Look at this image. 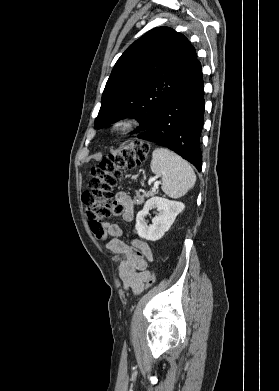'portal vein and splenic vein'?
<instances>
[{
	"mask_svg": "<svg viewBox=\"0 0 279 391\" xmlns=\"http://www.w3.org/2000/svg\"><path fill=\"white\" fill-rule=\"evenodd\" d=\"M160 182H155L154 187L152 188V191L155 192L158 189Z\"/></svg>",
	"mask_w": 279,
	"mask_h": 391,
	"instance_id": "portal-vein-and-splenic-vein-1",
	"label": "portal vein and splenic vein"
}]
</instances>
